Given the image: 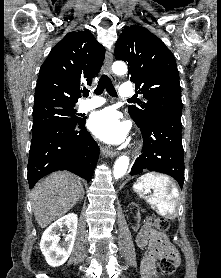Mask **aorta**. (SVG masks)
I'll use <instances>...</instances> for the list:
<instances>
[{"label": "aorta", "instance_id": "aorta-1", "mask_svg": "<svg viewBox=\"0 0 221 278\" xmlns=\"http://www.w3.org/2000/svg\"><path fill=\"white\" fill-rule=\"evenodd\" d=\"M112 70L116 75H125L127 73V66L122 61H116L112 65ZM129 165L128 156H120L113 167V176L115 179H119L125 175Z\"/></svg>", "mask_w": 221, "mask_h": 278}]
</instances>
